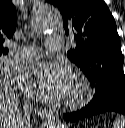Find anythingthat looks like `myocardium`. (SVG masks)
Instances as JSON below:
<instances>
[{
	"mask_svg": "<svg viewBox=\"0 0 125 128\" xmlns=\"http://www.w3.org/2000/svg\"><path fill=\"white\" fill-rule=\"evenodd\" d=\"M93 91L86 80L76 81L67 98L66 106L70 109H76L86 104L92 97Z\"/></svg>",
	"mask_w": 125,
	"mask_h": 128,
	"instance_id": "1",
	"label": "myocardium"
}]
</instances>
